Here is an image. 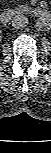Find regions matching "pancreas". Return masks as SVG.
Listing matches in <instances>:
<instances>
[{
    "label": "pancreas",
    "mask_w": 51,
    "mask_h": 153,
    "mask_svg": "<svg viewBox=\"0 0 51 153\" xmlns=\"http://www.w3.org/2000/svg\"><path fill=\"white\" fill-rule=\"evenodd\" d=\"M15 10L19 13H22L28 11L29 7L27 5H18L17 7H15Z\"/></svg>",
    "instance_id": "cf45deb5"
}]
</instances>
